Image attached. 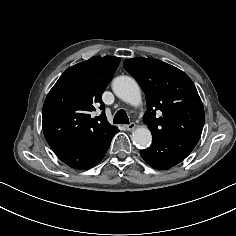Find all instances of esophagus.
<instances>
[{
	"mask_svg": "<svg viewBox=\"0 0 236 236\" xmlns=\"http://www.w3.org/2000/svg\"><path fill=\"white\" fill-rule=\"evenodd\" d=\"M135 127H136V124H135V123H130V124L126 125V129H127L128 131L134 130Z\"/></svg>",
	"mask_w": 236,
	"mask_h": 236,
	"instance_id": "esophagus-1",
	"label": "esophagus"
}]
</instances>
